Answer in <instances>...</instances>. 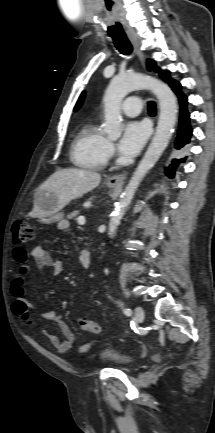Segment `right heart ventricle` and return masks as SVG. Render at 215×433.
<instances>
[{
  "mask_svg": "<svg viewBox=\"0 0 215 433\" xmlns=\"http://www.w3.org/2000/svg\"><path fill=\"white\" fill-rule=\"evenodd\" d=\"M108 140L99 128L95 120L86 122L76 135L71 157L73 162L80 167L99 170L102 169L108 159L106 152Z\"/></svg>",
  "mask_w": 215,
  "mask_h": 433,
  "instance_id": "right-heart-ventricle-1",
  "label": "right heart ventricle"
}]
</instances>
